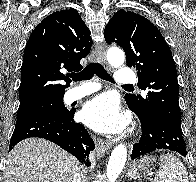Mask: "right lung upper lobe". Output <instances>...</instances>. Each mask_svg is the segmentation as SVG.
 I'll return each mask as SVG.
<instances>
[{
    "label": "right lung upper lobe",
    "instance_id": "obj_1",
    "mask_svg": "<svg viewBox=\"0 0 196 182\" xmlns=\"http://www.w3.org/2000/svg\"><path fill=\"white\" fill-rule=\"evenodd\" d=\"M91 45L90 30L76 9L57 11L42 20L25 47L20 105L64 96L70 79L60 70H81L80 60L89 54ZM60 80H65L66 85Z\"/></svg>",
    "mask_w": 196,
    "mask_h": 182
}]
</instances>
